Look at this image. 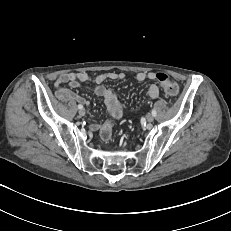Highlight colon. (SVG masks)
Wrapping results in <instances>:
<instances>
[{
  "label": "colon",
  "instance_id": "1",
  "mask_svg": "<svg viewBox=\"0 0 231 231\" xmlns=\"http://www.w3.org/2000/svg\"><path fill=\"white\" fill-rule=\"evenodd\" d=\"M155 79L161 83L165 92L168 95L175 96L178 94V92H179L178 85L174 82H171L169 80V77L167 74L157 73L155 75ZM100 135H101V138L103 140H105V141L109 140L111 138V135H112V125L109 123L103 125V127L101 128V131H100Z\"/></svg>",
  "mask_w": 231,
  "mask_h": 231
}]
</instances>
